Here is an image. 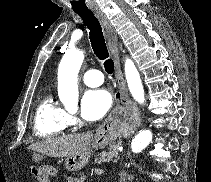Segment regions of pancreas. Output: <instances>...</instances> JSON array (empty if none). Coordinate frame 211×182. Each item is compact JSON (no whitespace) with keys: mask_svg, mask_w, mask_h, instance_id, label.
Wrapping results in <instances>:
<instances>
[{"mask_svg":"<svg viewBox=\"0 0 211 182\" xmlns=\"http://www.w3.org/2000/svg\"><path fill=\"white\" fill-rule=\"evenodd\" d=\"M119 158L118 145H111L107 151H102L95 157V163L116 162Z\"/></svg>","mask_w":211,"mask_h":182,"instance_id":"obj_1","label":"pancreas"}]
</instances>
